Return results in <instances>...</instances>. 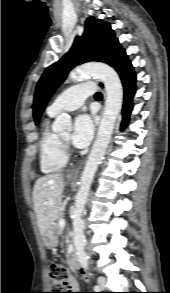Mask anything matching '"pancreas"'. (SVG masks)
<instances>
[{"instance_id":"obj_1","label":"pancreas","mask_w":170,"mask_h":293,"mask_svg":"<svg viewBox=\"0 0 170 293\" xmlns=\"http://www.w3.org/2000/svg\"><path fill=\"white\" fill-rule=\"evenodd\" d=\"M64 217V214L62 211H60L56 217V220L55 222L53 223V226H52V231L56 234H61L62 233V228L59 226V221L61 219H63Z\"/></svg>"}]
</instances>
